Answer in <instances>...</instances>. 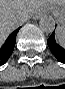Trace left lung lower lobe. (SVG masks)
Returning a JSON list of instances; mask_svg holds the SVG:
<instances>
[{"label": "left lung lower lobe", "mask_w": 65, "mask_h": 89, "mask_svg": "<svg viewBox=\"0 0 65 89\" xmlns=\"http://www.w3.org/2000/svg\"><path fill=\"white\" fill-rule=\"evenodd\" d=\"M47 44L52 54L62 63H65V47L59 46L55 41L54 32L47 40Z\"/></svg>", "instance_id": "1"}]
</instances>
